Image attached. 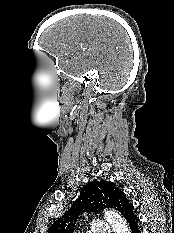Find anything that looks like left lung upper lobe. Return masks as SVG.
<instances>
[{
  "mask_svg": "<svg viewBox=\"0 0 174 233\" xmlns=\"http://www.w3.org/2000/svg\"><path fill=\"white\" fill-rule=\"evenodd\" d=\"M108 207L120 211L124 218L134 209L126 194L114 183L104 180L91 182L81 189L79 198L50 226L48 233H73L83 212H97Z\"/></svg>",
  "mask_w": 174,
  "mask_h": 233,
  "instance_id": "obj_1",
  "label": "left lung upper lobe"
}]
</instances>
